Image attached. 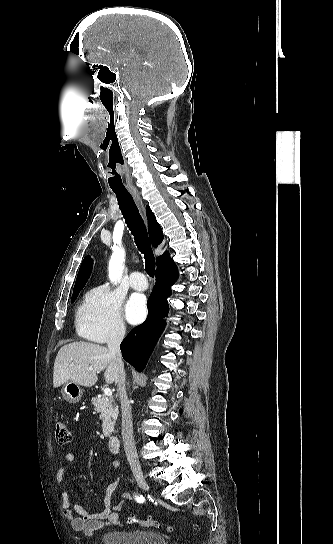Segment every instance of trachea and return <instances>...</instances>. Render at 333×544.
I'll return each instance as SVG.
<instances>
[{
	"label": "trachea",
	"instance_id": "obj_1",
	"mask_svg": "<svg viewBox=\"0 0 333 544\" xmlns=\"http://www.w3.org/2000/svg\"><path fill=\"white\" fill-rule=\"evenodd\" d=\"M112 190L116 194L119 208L125 218L127 226L134 236L137 248L144 254L146 272L149 276L154 277L155 257L147 236L144 221L133 197L127 190Z\"/></svg>",
	"mask_w": 333,
	"mask_h": 544
}]
</instances>
